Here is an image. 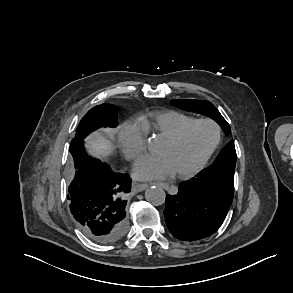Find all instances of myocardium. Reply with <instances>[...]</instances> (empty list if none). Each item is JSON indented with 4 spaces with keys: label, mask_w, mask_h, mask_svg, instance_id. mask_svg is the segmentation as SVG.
Wrapping results in <instances>:
<instances>
[{
    "label": "myocardium",
    "mask_w": 293,
    "mask_h": 293,
    "mask_svg": "<svg viewBox=\"0 0 293 293\" xmlns=\"http://www.w3.org/2000/svg\"><path fill=\"white\" fill-rule=\"evenodd\" d=\"M197 124H209L215 129V138L209 149L206 151L204 156L199 160V162L189 171L183 172V173H176V176L180 179H189L195 176L197 173H199L207 164L209 159L212 157L216 149L218 148L220 141H221V136H222V131L218 123H216L214 120L208 119V118H200V119H195L184 126H182L178 131H176L174 134L164 138V140L168 143H175L179 141L184 134L194 125Z\"/></svg>",
    "instance_id": "myocardium-1"
}]
</instances>
